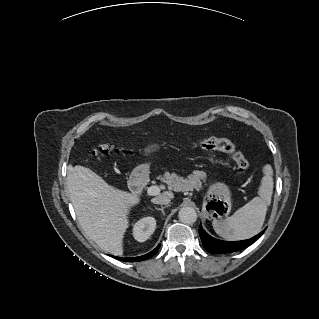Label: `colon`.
I'll use <instances>...</instances> for the list:
<instances>
[{
  "instance_id": "1",
  "label": "colon",
  "mask_w": 319,
  "mask_h": 319,
  "mask_svg": "<svg viewBox=\"0 0 319 319\" xmlns=\"http://www.w3.org/2000/svg\"><path fill=\"white\" fill-rule=\"evenodd\" d=\"M195 146L203 150H216L228 153L235 164V167L240 172H246L249 168V162L243 157L241 153L236 151L233 144L224 139L218 138H203L196 141ZM135 152L123 147H118L110 144H102L97 147L92 155L95 158L104 156H119V155H132Z\"/></svg>"
}]
</instances>
